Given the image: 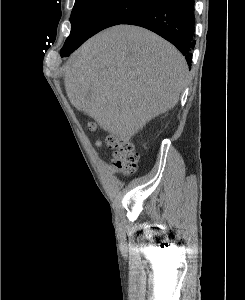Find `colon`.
<instances>
[{
  "mask_svg": "<svg viewBox=\"0 0 245 300\" xmlns=\"http://www.w3.org/2000/svg\"><path fill=\"white\" fill-rule=\"evenodd\" d=\"M107 144L114 150L113 163L125 175L132 174L137 168L138 155L129 141L118 140L114 137L107 139Z\"/></svg>",
  "mask_w": 245,
  "mask_h": 300,
  "instance_id": "obj_1",
  "label": "colon"
}]
</instances>
